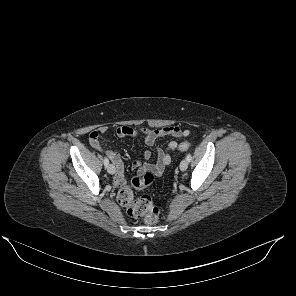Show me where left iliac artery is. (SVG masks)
Returning a JSON list of instances; mask_svg holds the SVG:
<instances>
[{"instance_id": "1", "label": "left iliac artery", "mask_w": 296, "mask_h": 296, "mask_svg": "<svg viewBox=\"0 0 296 296\" xmlns=\"http://www.w3.org/2000/svg\"><path fill=\"white\" fill-rule=\"evenodd\" d=\"M186 159H187L188 162H190L192 160L191 154H188L187 157H186Z\"/></svg>"}]
</instances>
